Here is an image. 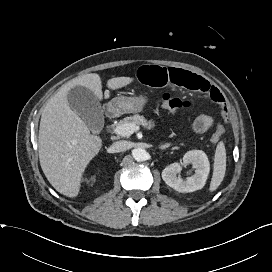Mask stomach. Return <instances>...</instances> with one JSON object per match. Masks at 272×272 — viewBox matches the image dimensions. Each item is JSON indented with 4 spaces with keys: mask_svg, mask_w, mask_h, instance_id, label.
<instances>
[{
    "mask_svg": "<svg viewBox=\"0 0 272 272\" xmlns=\"http://www.w3.org/2000/svg\"><path fill=\"white\" fill-rule=\"evenodd\" d=\"M147 96L138 97H116L109 103V108L113 113H137L141 112L147 104Z\"/></svg>",
    "mask_w": 272,
    "mask_h": 272,
    "instance_id": "0dacf381",
    "label": "stomach"
}]
</instances>
